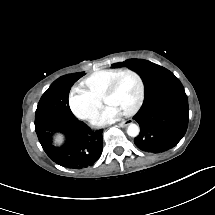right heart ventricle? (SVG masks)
Returning a JSON list of instances; mask_svg holds the SVG:
<instances>
[{"instance_id": "e07e8e85", "label": "right heart ventricle", "mask_w": 215, "mask_h": 215, "mask_svg": "<svg viewBox=\"0 0 215 215\" xmlns=\"http://www.w3.org/2000/svg\"><path fill=\"white\" fill-rule=\"evenodd\" d=\"M120 71V69H109V70H100L96 72V74L92 75L90 79H88L85 88L87 92L99 95L104 92V90L108 89L112 77L110 74Z\"/></svg>"}]
</instances>
